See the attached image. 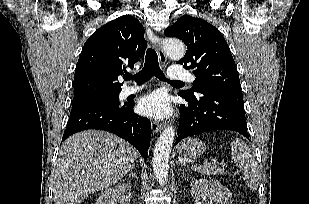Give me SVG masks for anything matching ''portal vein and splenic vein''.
<instances>
[{"label": "portal vein and splenic vein", "mask_w": 309, "mask_h": 204, "mask_svg": "<svg viewBox=\"0 0 309 204\" xmlns=\"http://www.w3.org/2000/svg\"><path fill=\"white\" fill-rule=\"evenodd\" d=\"M195 166H197V165H192L191 168H194Z\"/></svg>", "instance_id": "18ae733b"}]
</instances>
